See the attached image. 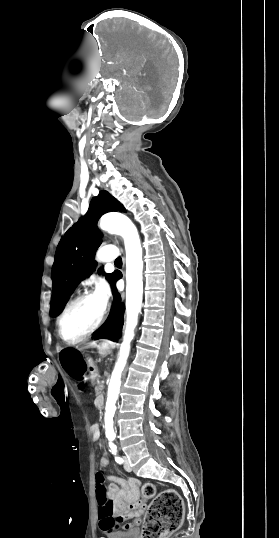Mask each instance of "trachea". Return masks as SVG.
Here are the masks:
<instances>
[{
	"instance_id": "1",
	"label": "trachea",
	"mask_w": 279,
	"mask_h": 538,
	"mask_svg": "<svg viewBox=\"0 0 279 538\" xmlns=\"http://www.w3.org/2000/svg\"><path fill=\"white\" fill-rule=\"evenodd\" d=\"M115 264H122V259H121V257H118V258L115 260Z\"/></svg>"
}]
</instances>
